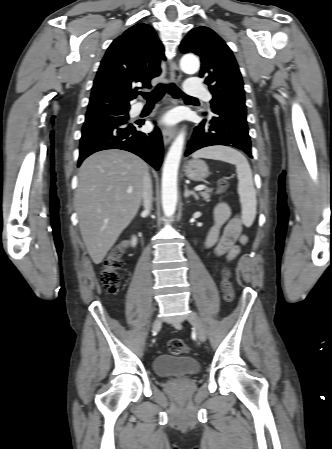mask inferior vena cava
Wrapping results in <instances>:
<instances>
[{
  "label": "inferior vena cava",
  "instance_id": "602c4592",
  "mask_svg": "<svg viewBox=\"0 0 332 449\" xmlns=\"http://www.w3.org/2000/svg\"><path fill=\"white\" fill-rule=\"evenodd\" d=\"M142 198H143L144 211L147 214H149L152 208L153 192H152V182L148 172L144 175L143 178Z\"/></svg>",
  "mask_w": 332,
  "mask_h": 449
}]
</instances>
